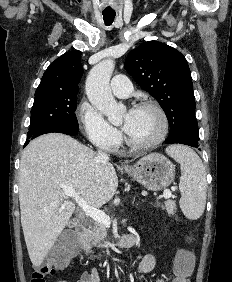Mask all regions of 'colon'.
<instances>
[{
	"mask_svg": "<svg viewBox=\"0 0 232 282\" xmlns=\"http://www.w3.org/2000/svg\"><path fill=\"white\" fill-rule=\"evenodd\" d=\"M79 248L77 239L71 234H64L53 246L45 260L35 266L30 282H47L56 269L67 266ZM193 259L189 251H178L174 264V279L172 282H189Z\"/></svg>",
	"mask_w": 232,
	"mask_h": 282,
	"instance_id": "5ec220e1",
	"label": "colon"
}]
</instances>
